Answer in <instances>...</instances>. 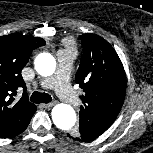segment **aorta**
<instances>
[{
	"label": "aorta",
	"instance_id": "762f6f07",
	"mask_svg": "<svg viewBox=\"0 0 153 153\" xmlns=\"http://www.w3.org/2000/svg\"><path fill=\"white\" fill-rule=\"evenodd\" d=\"M34 65L37 73L45 77L52 75L56 69V61L49 53L39 54ZM52 120L57 128L69 130L76 123V113L68 104H57L52 109Z\"/></svg>",
	"mask_w": 153,
	"mask_h": 153
}]
</instances>
